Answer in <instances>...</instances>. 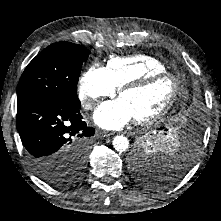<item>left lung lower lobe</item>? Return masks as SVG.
<instances>
[{
  "instance_id": "obj_1",
  "label": "left lung lower lobe",
  "mask_w": 221,
  "mask_h": 221,
  "mask_svg": "<svg viewBox=\"0 0 221 221\" xmlns=\"http://www.w3.org/2000/svg\"><path fill=\"white\" fill-rule=\"evenodd\" d=\"M202 128L201 119L195 116L184 123L181 130L176 131L177 142L174 141L173 146L170 147V152L175 151L173 155L179 157L181 166L172 172V176L168 180L169 182L181 177L185 173L189 162L195 154L202 135ZM165 131H167V129H165Z\"/></svg>"
}]
</instances>
